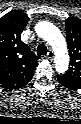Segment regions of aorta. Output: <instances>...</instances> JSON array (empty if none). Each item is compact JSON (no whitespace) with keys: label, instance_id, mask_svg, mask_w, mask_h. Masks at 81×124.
<instances>
[{"label":"aorta","instance_id":"obj_1","mask_svg":"<svg viewBox=\"0 0 81 124\" xmlns=\"http://www.w3.org/2000/svg\"><path fill=\"white\" fill-rule=\"evenodd\" d=\"M35 31L39 37L47 41L55 52V68L58 73L68 69L69 55L65 39L60 30L50 22H39Z\"/></svg>","mask_w":81,"mask_h":124}]
</instances>
